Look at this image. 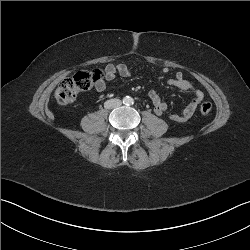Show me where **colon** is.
Masks as SVG:
<instances>
[{
	"instance_id": "obj_1",
	"label": "colon",
	"mask_w": 250,
	"mask_h": 250,
	"mask_svg": "<svg viewBox=\"0 0 250 250\" xmlns=\"http://www.w3.org/2000/svg\"><path fill=\"white\" fill-rule=\"evenodd\" d=\"M102 78L103 74L99 70L79 71L60 83L55 91V98L60 105H70L75 102L79 92L89 90ZM211 109V103L204 102L200 107V112L207 115Z\"/></svg>"
}]
</instances>
